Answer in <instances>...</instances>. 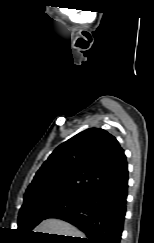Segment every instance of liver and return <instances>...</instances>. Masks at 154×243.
I'll return each instance as SVG.
<instances>
[{"label": "liver", "mask_w": 154, "mask_h": 243, "mask_svg": "<svg viewBox=\"0 0 154 243\" xmlns=\"http://www.w3.org/2000/svg\"><path fill=\"white\" fill-rule=\"evenodd\" d=\"M34 232H42L48 234L72 236L84 238V234L79 231L76 227L71 224L59 220V219H46L41 222L35 229Z\"/></svg>", "instance_id": "obj_1"}]
</instances>
